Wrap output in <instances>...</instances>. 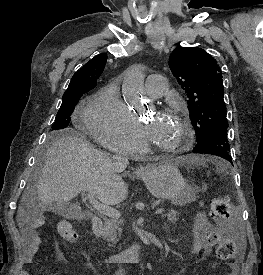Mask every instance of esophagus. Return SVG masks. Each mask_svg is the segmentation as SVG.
Listing matches in <instances>:
<instances>
[{
    "label": "esophagus",
    "instance_id": "esophagus-1",
    "mask_svg": "<svg viewBox=\"0 0 263 275\" xmlns=\"http://www.w3.org/2000/svg\"><path fill=\"white\" fill-rule=\"evenodd\" d=\"M144 169H145V168H144V167H142V168H141V171H143Z\"/></svg>",
    "mask_w": 263,
    "mask_h": 275
}]
</instances>
